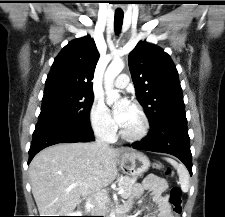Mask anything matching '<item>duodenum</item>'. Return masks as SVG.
Segmentation results:
<instances>
[{
    "mask_svg": "<svg viewBox=\"0 0 225 217\" xmlns=\"http://www.w3.org/2000/svg\"><path fill=\"white\" fill-rule=\"evenodd\" d=\"M117 217H127V216L121 212Z\"/></svg>",
    "mask_w": 225,
    "mask_h": 217,
    "instance_id": "duodenum-1",
    "label": "duodenum"
}]
</instances>
